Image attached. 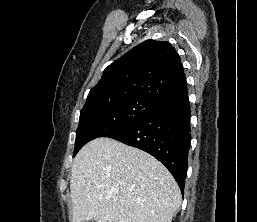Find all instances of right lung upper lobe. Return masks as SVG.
Listing matches in <instances>:
<instances>
[{"label":"right lung upper lobe","mask_w":257,"mask_h":222,"mask_svg":"<svg viewBox=\"0 0 257 222\" xmlns=\"http://www.w3.org/2000/svg\"><path fill=\"white\" fill-rule=\"evenodd\" d=\"M187 93L183 66L169 42L147 40L110 64L87 101L144 97L163 103Z\"/></svg>","instance_id":"right-lung-upper-lobe-1"}]
</instances>
